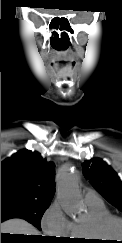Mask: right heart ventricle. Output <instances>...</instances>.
I'll return each instance as SVG.
<instances>
[{
  "mask_svg": "<svg viewBox=\"0 0 122 243\" xmlns=\"http://www.w3.org/2000/svg\"><path fill=\"white\" fill-rule=\"evenodd\" d=\"M89 211V219L86 222H71L70 237L74 240H89L97 239L93 234L90 227L91 222L111 215L110 211L102 201L98 202H85Z\"/></svg>",
  "mask_w": 122,
  "mask_h": 243,
  "instance_id": "right-heart-ventricle-1",
  "label": "right heart ventricle"
}]
</instances>
